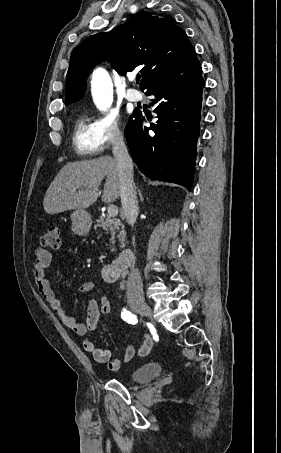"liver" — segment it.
<instances>
[{"mask_svg": "<svg viewBox=\"0 0 281 453\" xmlns=\"http://www.w3.org/2000/svg\"><path fill=\"white\" fill-rule=\"evenodd\" d=\"M105 176L102 200L113 202L121 192L115 158L99 156L92 160L67 162L46 190L43 200L45 212L56 214L72 208H88L96 202L99 186Z\"/></svg>", "mask_w": 281, "mask_h": 453, "instance_id": "obj_1", "label": "liver"}]
</instances>
